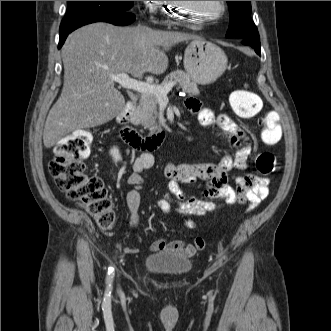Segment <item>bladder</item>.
<instances>
[{
    "label": "bladder",
    "instance_id": "1",
    "mask_svg": "<svg viewBox=\"0 0 331 331\" xmlns=\"http://www.w3.org/2000/svg\"><path fill=\"white\" fill-rule=\"evenodd\" d=\"M143 266L153 274L176 277L187 274L192 261L189 257L176 252L159 251L147 255Z\"/></svg>",
    "mask_w": 331,
    "mask_h": 331
}]
</instances>
